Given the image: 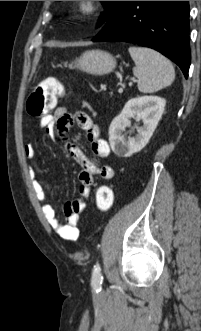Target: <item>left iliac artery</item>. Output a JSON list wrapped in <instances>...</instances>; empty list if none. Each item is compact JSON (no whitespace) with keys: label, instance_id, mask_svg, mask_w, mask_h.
Masks as SVG:
<instances>
[{"label":"left iliac artery","instance_id":"1","mask_svg":"<svg viewBox=\"0 0 201 331\" xmlns=\"http://www.w3.org/2000/svg\"><path fill=\"white\" fill-rule=\"evenodd\" d=\"M102 281H103V277L101 274V268L99 266V264L97 263L94 266L93 272H92V286L94 289L99 290L101 288L102 285Z\"/></svg>","mask_w":201,"mask_h":331}]
</instances>
